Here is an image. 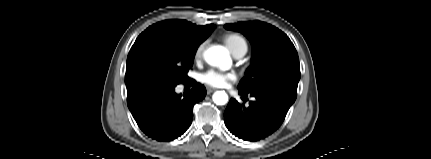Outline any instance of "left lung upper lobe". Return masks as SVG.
I'll return each instance as SVG.
<instances>
[{
	"mask_svg": "<svg viewBox=\"0 0 431 159\" xmlns=\"http://www.w3.org/2000/svg\"><path fill=\"white\" fill-rule=\"evenodd\" d=\"M225 28L244 34L253 47L251 66L238 85L239 91L251 93L276 88L297 96L299 58L285 33L261 21L226 24Z\"/></svg>",
	"mask_w": 431,
	"mask_h": 159,
	"instance_id": "1",
	"label": "left lung upper lobe"
}]
</instances>
